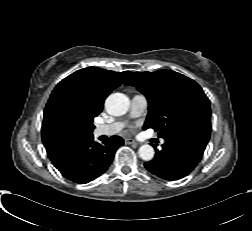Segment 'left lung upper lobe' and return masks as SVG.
Returning a JSON list of instances; mask_svg holds the SVG:
<instances>
[{
    "instance_id": "obj_1",
    "label": "left lung upper lobe",
    "mask_w": 252,
    "mask_h": 231,
    "mask_svg": "<svg viewBox=\"0 0 252 231\" xmlns=\"http://www.w3.org/2000/svg\"><path fill=\"white\" fill-rule=\"evenodd\" d=\"M125 85L136 87L148 100L149 113L143 129L153 128L162 138L187 130L210 134V101L194 80L162 69L135 72Z\"/></svg>"
}]
</instances>
